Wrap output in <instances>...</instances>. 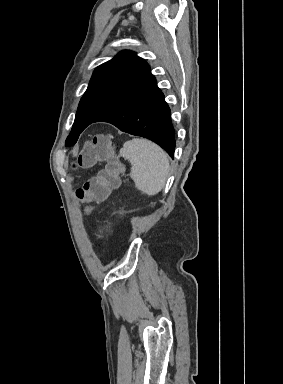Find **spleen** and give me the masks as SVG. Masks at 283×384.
Returning <instances> with one entry per match:
<instances>
[{
    "instance_id": "spleen-1",
    "label": "spleen",
    "mask_w": 283,
    "mask_h": 384,
    "mask_svg": "<svg viewBox=\"0 0 283 384\" xmlns=\"http://www.w3.org/2000/svg\"><path fill=\"white\" fill-rule=\"evenodd\" d=\"M120 156L129 160V174L135 188L147 196L159 194L169 176L170 166L166 152L149 140H130L120 150Z\"/></svg>"
}]
</instances>
